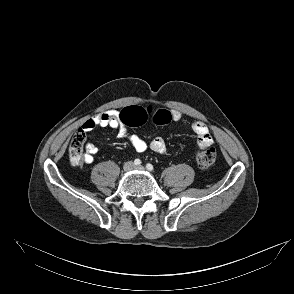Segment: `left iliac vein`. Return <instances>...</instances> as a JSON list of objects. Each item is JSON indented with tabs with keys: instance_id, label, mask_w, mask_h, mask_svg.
<instances>
[{
	"instance_id": "left-iliac-vein-1",
	"label": "left iliac vein",
	"mask_w": 294,
	"mask_h": 294,
	"mask_svg": "<svg viewBox=\"0 0 294 294\" xmlns=\"http://www.w3.org/2000/svg\"><path fill=\"white\" fill-rule=\"evenodd\" d=\"M134 169L141 170V171L145 170V168L143 166H136V167H134Z\"/></svg>"
}]
</instances>
